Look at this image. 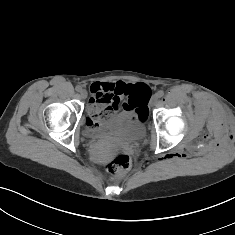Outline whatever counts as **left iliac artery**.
I'll list each match as a JSON object with an SVG mask.
<instances>
[{
	"mask_svg": "<svg viewBox=\"0 0 235 235\" xmlns=\"http://www.w3.org/2000/svg\"><path fill=\"white\" fill-rule=\"evenodd\" d=\"M156 95H157L158 98H161V97H163V95H164V91H163V90H159V91L156 93Z\"/></svg>",
	"mask_w": 235,
	"mask_h": 235,
	"instance_id": "obj_1",
	"label": "left iliac artery"
}]
</instances>
